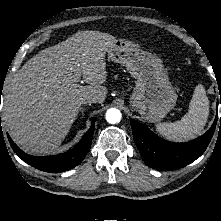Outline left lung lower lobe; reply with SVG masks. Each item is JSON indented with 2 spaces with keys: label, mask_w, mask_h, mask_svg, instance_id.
<instances>
[{
  "label": "left lung lower lobe",
  "mask_w": 221,
  "mask_h": 221,
  "mask_svg": "<svg viewBox=\"0 0 221 221\" xmlns=\"http://www.w3.org/2000/svg\"><path fill=\"white\" fill-rule=\"evenodd\" d=\"M217 117L212 127L204 135L187 143H173L163 140L149 130L146 125L134 120L131 121V127L135 144L144 162L159 171H170L190 164L203 154L214 134Z\"/></svg>",
  "instance_id": "0a47b994"
}]
</instances>
